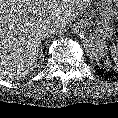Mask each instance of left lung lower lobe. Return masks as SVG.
<instances>
[{
  "instance_id": "0a47b994",
  "label": "left lung lower lobe",
  "mask_w": 118,
  "mask_h": 118,
  "mask_svg": "<svg viewBox=\"0 0 118 118\" xmlns=\"http://www.w3.org/2000/svg\"><path fill=\"white\" fill-rule=\"evenodd\" d=\"M95 69L99 77L112 82H118V71L111 70L105 66H96Z\"/></svg>"
}]
</instances>
